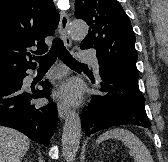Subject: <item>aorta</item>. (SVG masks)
<instances>
[{
	"label": "aorta",
	"instance_id": "obj_1",
	"mask_svg": "<svg viewBox=\"0 0 168 162\" xmlns=\"http://www.w3.org/2000/svg\"><path fill=\"white\" fill-rule=\"evenodd\" d=\"M73 38H83L88 33L84 21H72L69 26ZM81 139V119L78 113L71 111L65 119L62 133V153L67 162H72L77 154Z\"/></svg>",
	"mask_w": 168,
	"mask_h": 162
}]
</instances>
